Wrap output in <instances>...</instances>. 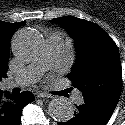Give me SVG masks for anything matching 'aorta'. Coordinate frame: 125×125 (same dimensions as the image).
Wrapping results in <instances>:
<instances>
[{
    "label": "aorta",
    "mask_w": 125,
    "mask_h": 125,
    "mask_svg": "<svg viewBox=\"0 0 125 125\" xmlns=\"http://www.w3.org/2000/svg\"><path fill=\"white\" fill-rule=\"evenodd\" d=\"M41 37L32 30H20L14 37L15 52L22 60H32L38 53ZM48 114L56 121L66 122L73 117L74 108L71 102L59 97L48 105Z\"/></svg>",
    "instance_id": "762f6f07"
}]
</instances>
